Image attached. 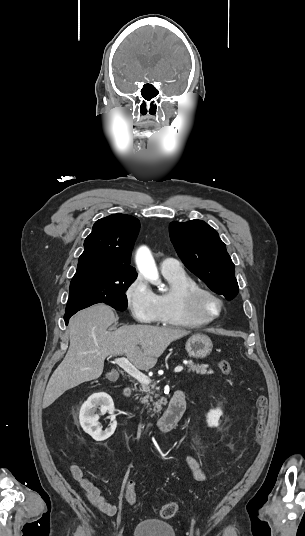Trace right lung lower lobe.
Here are the masks:
<instances>
[{"label": "right lung lower lobe", "instance_id": "obj_1", "mask_svg": "<svg viewBox=\"0 0 305 536\" xmlns=\"http://www.w3.org/2000/svg\"><path fill=\"white\" fill-rule=\"evenodd\" d=\"M77 311H79V310L70 311V312H66V313H65V315H64V320H65L66 325L68 324L69 318H70L72 315H74Z\"/></svg>", "mask_w": 305, "mask_h": 536}]
</instances>
